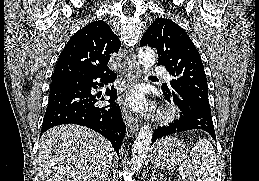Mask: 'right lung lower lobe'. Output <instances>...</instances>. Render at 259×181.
Listing matches in <instances>:
<instances>
[{"instance_id": "right-lung-lower-lobe-1", "label": "right lung lower lobe", "mask_w": 259, "mask_h": 181, "mask_svg": "<svg viewBox=\"0 0 259 181\" xmlns=\"http://www.w3.org/2000/svg\"><path fill=\"white\" fill-rule=\"evenodd\" d=\"M117 75L108 69L100 73H90L73 77L50 89L49 102L42 123L41 135L51 127L61 124H78L89 127L107 138L116 153L119 154L124 135L125 125L120 107L115 104L117 98L114 86L106 89L110 97V105L96 107V96L91 95V89L108 84ZM101 100H104L102 98Z\"/></svg>"}]
</instances>
